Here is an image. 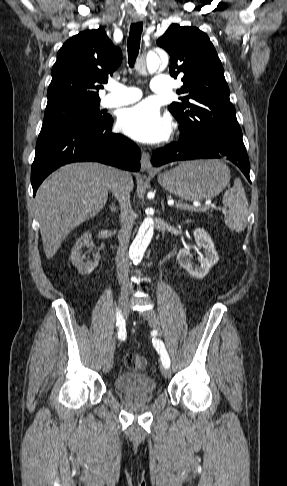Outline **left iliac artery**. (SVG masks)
<instances>
[{"label": "left iliac artery", "mask_w": 287, "mask_h": 486, "mask_svg": "<svg viewBox=\"0 0 287 486\" xmlns=\"http://www.w3.org/2000/svg\"><path fill=\"white\" fill-rule=\"evenodd\" d=\"M153 345L157 352L160 354L161 362L165 368L170 367V358L166 351L164 343L159 339H153Z\"/></svg>", "instance_id": "44dca946"}]
</instances>
